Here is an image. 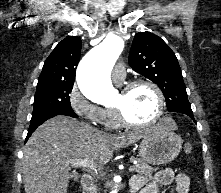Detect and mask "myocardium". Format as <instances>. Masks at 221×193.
I'll return each instance as SVG.
<instances>
[{
  "mask_svg": "<svg viewBox=\"0 0 221 193\" xmlns=\"http://www.w3.org/2000/svg\"><path fill=\"white\" fill-rule=\"evenodd\" d=\"M141 85H146L149 86L153 89L156 98H157V110L155 115L153 116V118L151 120H149L146 123H137V122H133L131 121L125 111L123 110L122 107L120 106H115L114 110L117 114L118 120L120 122V124L124 127L127 128H136V129H142V128H148L151 127L153 125H155L162 117L163 113H164V105H165V100H164V94L162 92V90L160 89V87L153 82L152 80L149 79H136L132 82L127 83L121 90V92L123 93H127L129 91H131L133 88L137 87V86H141Z\"/></svg>",
  "mask_w": 221,
  "mask_h": 193,
  "instance_id": "f54148a6",
  "label": "myocardium"
}]
</instances>
